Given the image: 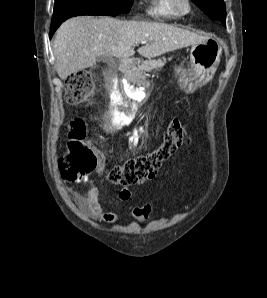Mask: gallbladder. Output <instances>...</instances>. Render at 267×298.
Listing matches in <instances>:
<instances>
[{
	"label": "gallbladder",
	"instance_id": "bac80fb5",
	"mask_svg": "<svg viewBox=\"0 0 267 298\" xmlns=\"http://www.w3.org/2000/svg\"><path fill=\"white\" fill-rule=\"evenodd\" d=\"M98 60H99V61H110V60H111V57H108V56H101V57H98Z\"/></svg>",
	"mask_w": 267,
	"mask_h": 298
}]
</instances>
